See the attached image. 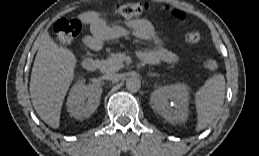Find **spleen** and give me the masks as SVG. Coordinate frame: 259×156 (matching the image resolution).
Wrapping results in <instances>:
<instances>
[{"label": "spleen", "instance_id": "1", "mask_svg": "<svg viewBox=\"0 0 259 156\" xmlns=\"http://www.w3.org/2000/svg\"><path fill=\"white\" fill-rule=\"evenodd\" d=\"M225 98V78L221 73L214 74L195 93L197 127L199 131L207 127L219 114Z\"/></svg>", "mask_w": 259, "mask_h": 156}]
</instances>
